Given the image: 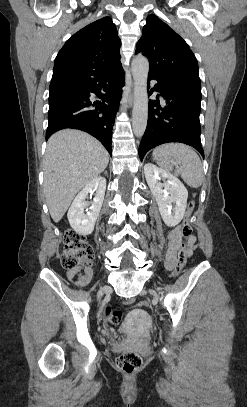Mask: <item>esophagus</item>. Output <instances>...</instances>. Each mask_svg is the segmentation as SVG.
I'll return each mask as SVG.
<instances>
[{
  "mask_svg": "<svg viewBox=\"0 0 247 407\" xmlns=\"http://www.w3.org/2000/svg\"><path fill=\"white\" fill-rule=\"evenodd\" d=\"M124 100L126 102H128L129 105H132L133 101H134L133 93H130L129 95H127V97H125Z\"/></svg>",
  "mask_w": 247,
  "mask_h": 407,
  "instance_id": "esophagus-1",
  "label": "esophagus"
}]
</instances>
